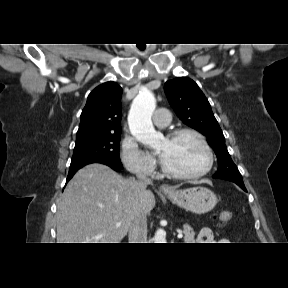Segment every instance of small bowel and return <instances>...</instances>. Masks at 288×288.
Instances as JSON below:
<instances>
[{"label": "small bowel", "mask_w": 288, "mask_h": 288, "mask_svg": "<svg viewBox=\"0 0 288 288\" xmlns=\"http://www.w3.org/2000/svg\"><path fill=\"white\" fill-rule=\"evenodd\" d=\"M199 243H215L213 231L210 228L201 229L198 237ZM217 243H229L226 238L217 240Z\"/></svg>", "instance_id": "1"}]
</instances>
